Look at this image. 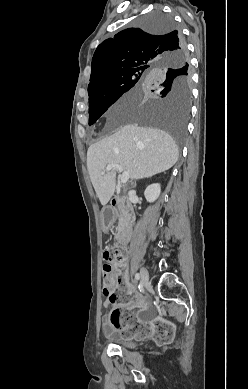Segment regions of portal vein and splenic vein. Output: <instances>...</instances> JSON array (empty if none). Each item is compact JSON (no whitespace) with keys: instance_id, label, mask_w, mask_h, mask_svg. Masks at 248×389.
Wrapping results in <instances>:
<instances>
[{"instance_id":"18ae733b","label":"portal vein and splenic vein","mask_w":248,"mask_h":389,"mask_svg":"<svg viewBox=\"0 0 248 389\" xmlns=\"http://www.w3.org/2000/svg\"><path fill=\"white\" fill-rule=\"evenodd\" d=\"M111 169H116L117 171L119 172H122V175H121V183L124 184L128 181L129 179V172L128 171H124L123 167L119 164H109L107 165L106 167V171H110ZM104 174V172H103Z\"/></svg>"}]
</instances>
